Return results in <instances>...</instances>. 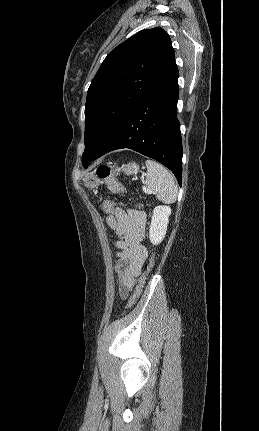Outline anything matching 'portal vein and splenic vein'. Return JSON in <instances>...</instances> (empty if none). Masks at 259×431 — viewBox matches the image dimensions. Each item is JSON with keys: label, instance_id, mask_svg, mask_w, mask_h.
Masks as SVG:
<instances>
[{"label": "portal vein and splenic vein", "instance_id": "18ae733b", "mask_svg": "<svg viewBox=\"0 0 259 431\" xmlns=\"http://www.w3.org/2000/svg\"><path fill=\"white\" fill-rule=\"evenodd\" d=\"M144 190H145V192H146V193H149V192H150V191H148V190H146V189H144Z\"/></svg>", "mask_w": 259, "mask_h": 431}]
</instances>
